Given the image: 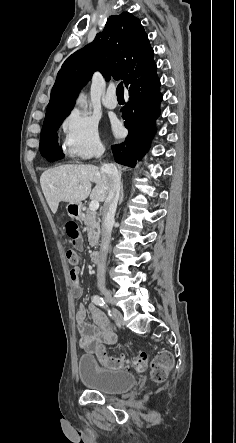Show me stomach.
I'll list each match as a JSON object with an SVG mask.
<instances>
[{"label":"stomach","instance_id":"stomach-1","mask_svg":"<svg viewBox=\"0 0 236 443\" xmlns=\"http://www.w3.org/2000/svg\"><path fill=\"white\" fill-rule=\"evenodd\" d=\"M68 215L73 218H79L81 215V204L69 203L66 207Z\"/></svg>","mask_w":236,"mask_h":443}]
</instances>
